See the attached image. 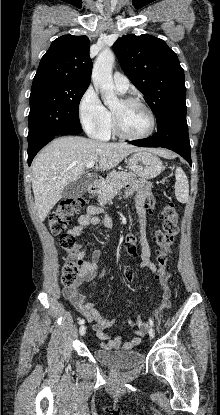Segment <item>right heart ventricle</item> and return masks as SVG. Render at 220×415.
Wrapping results in <instances>:
<instances>
[{
    "instance_id": "right-heart-ventricle-1",
    "label": "right heart ventricle",
    "mask_w": 220,
    "mask_h": 415,
    "mask_svg": "<svg viewBox=\"0 0 220 415\" xmlns=\"http://www.w3.org/2000/svg\"><path fill=\"white\" fill-rule=\"evenodd\" d=\"M113 133H114V128H113V123H112V120H111V123H110V125L107 129L106 135L102 138V140L107 139Z\"/></svg>"
}]
</instances>
